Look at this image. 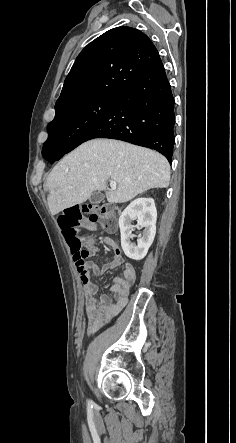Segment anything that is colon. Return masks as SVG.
Returning a JSON list of instances; mask_svg holds the SVG:
<instances>
[{
    "label": "colon",
    "mask_w": 236,
    "mask_h": 443,
    "mask_svg": "<svg viewBox=\"0 0 236 443\" xmlns=\"http://www.w3.org/2000/svg\"><path fill=\"white\" fill-rule=\"evenodd\" d=\"M84 216H87L90 226L100 225L105 230H113L116 212L109 205L99 204L66 207L60 212L58 225L66 238L74 263L79 266L84 265L91 255V250L83 246L86 240L81 228Z\"/></svg>",
    "instance_id": "colon-1"
}]
</instances>
